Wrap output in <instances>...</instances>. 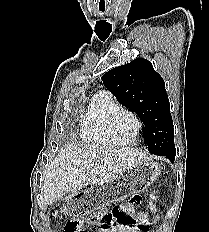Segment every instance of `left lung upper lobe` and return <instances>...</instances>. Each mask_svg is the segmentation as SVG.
Listing matches in <instances>:
<instances>
[{
	"label": "left lung upper lobe",
	"mask_w": 209,
	"mask_h": 232,
	"mask_svg": "<svg viewBox=\"0 0 209 232\" xmlns=\"http://www.w3.org/2000/svg\"><path fill=\"white\" fill-rule=\"evenodd\" d=\"M103 84L123 106L142 120L144 142L150 153L175 159L174 129L165 83L143 58L116 67L103 75Z\"/></svg>",
	"instance_id": "obj_1"
}]
</instances>
